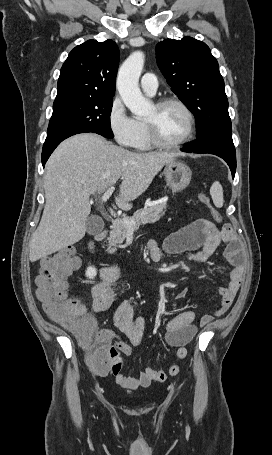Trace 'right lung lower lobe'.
I'll return each mask as SVG.
<instances>
[{
	"instance_id": "1",
	"label": "right lung lower lobe",
	"mask_w": 272,
	"mask_h": 455,
	"mask_svg": "<svg viewBox=\"0 0 272 455\" xmlns=\"http://www.w3.org/2000/svg\"><path fill=\"white\" fill-rule=\"evenodd\" d=\"M87 131H69V132H63L57 135H53L50 137H47L45 140V143L43 145V150H42V164L43 167L45 166L46 161L48 160L49 156L51 153L54 151V149L66 138L78 134V133H84Z\"/></svg>"
}]
</instances>
